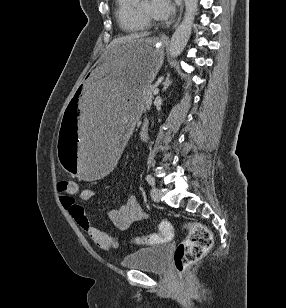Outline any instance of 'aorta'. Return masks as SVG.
I'll return each instance as SVG.
<instances>
[{"mask_svg":"<svg viewBox=\"0 0 286 308\" xmlns=\"http://www.w3.org/2000/svg\"><path fill=\"white\" fill-rule=\"evenodd\" d=\"M184 4V18L176 28L168 48V52L172 58L182 53L190 38L193 21L198 8V0H184Z\"/></svg>","mask_w":286,"mask_h":308,"instance_id":"1","label":"aorta"}]
</instances>
